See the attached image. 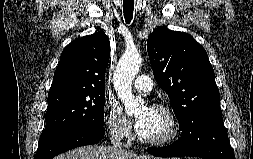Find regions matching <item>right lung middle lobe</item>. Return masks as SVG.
<instances>
[{"mask_svg":"<svg viewBox=\"0 0 253 159\" xmlns=\"http://www.w3.org/2000/svg\"><path fill=\"white\" fill-rule=\"evenodd\" d=\"M105 90L48 98L46 126L39 146L79 127L104 125Z\"/></svg>","mask_w":253,"mask_h":159,"instance_id":"right-lung-middle-lobe-1","label":"right lung middle lobe"}]
</instances>
